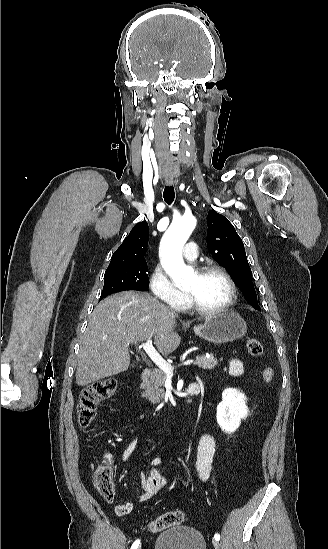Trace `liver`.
Segmentation results:
<instances>
[{
    "label": "liver",
    "mask_w": 328,
    "mask_h": 549,
    "mask_svg": "<svg viewBox=\"0 0 328 549\" xmlns=\"http://www.w3.org/2000/svg\"><path fill=\"white\" fill-rule=\"evenodd\" d=\"M175 327L176 315L148 293L123 291L106 297L95 307L80 343L77 385L86 387L127 371L131 343L154 339L159 353L170 355L181 343Z\"/></svg>",
    "instance_id": "liver-1"
}]
</instances>
